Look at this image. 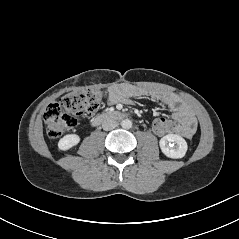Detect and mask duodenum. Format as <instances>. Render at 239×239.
I'll use <instances>...</instances> for the list:
<instances>
[{
	"mask_svg": "<svg viewBox=\"0 0 239 239\" xmlns=\"http://www.w3.org/2000/svg\"><path fill=\"white\" fill-rule=\"evenodd\" d=\"M127 117H128V114L121 111H108V112L100 113L97 116H95L92 119L91 124L93 126H98L108 120H122Z\"/></svg>",
	"mask_w": 239,
	"mask_h": 239,
	"instance_id": "410a0bca",
	"label": "duodenum"
}]
</instances>
